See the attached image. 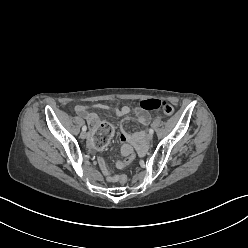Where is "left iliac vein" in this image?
<instances>
[{
  "instance_id": "left-iliac-vein-1",
  "label": "left iliac vein",
  "mask_w": 248,
  "mask_h": 248,
  "mask_svg": "<svg viewBox=\"0 0 248 248\" xmlns=\"http://www.w3.org/2000/svg\"><path fill=\"white\" fill-rule=\"evenodd\" d=\"M146 138H147L148 141H151L152 138H153V135L151 133H149V134H147Z\"/></svg>"
}]
</instances>
